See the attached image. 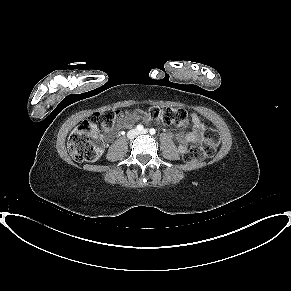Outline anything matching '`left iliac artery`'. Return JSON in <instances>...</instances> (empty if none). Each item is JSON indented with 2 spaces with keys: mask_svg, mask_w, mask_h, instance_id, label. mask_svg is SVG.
Wrapping results in <instances>:
<instances>
[{
  "mask_svg": "<svg viewBox=\"0 0 291 291\" xmlns=\"http://www.w3.org/2000/svg\"><path fill=\"white\" fill-rule=\"evenodd\" d=\"M156 133V130L154 128L150 129V134L154 135Z\"/></svg>",
  "mask_w": 291,
  "mask_h": 291,
  "instance_id": "1",
  "label": "left iliac artery"
}]
</instances>
